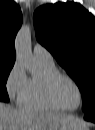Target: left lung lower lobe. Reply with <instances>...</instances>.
<instances>
[{
  "label": "left lung lower lobe",
  "instance_id": "left-lung-lower-lobe-1",
  "mask_svg": "<svg viewBox=\"0 0 95 130\" xmlns=\"http://www.w3.org/2000/svg\"><path fill=\"white\" fill-rule=\"evenodd\" d=\"M85 120L95 122V110L85 112Z\"/></svg>",
  "mask_w": 95,
  "mask_h": 130
}]
</instances>
